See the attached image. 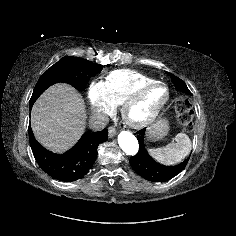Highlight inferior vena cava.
Listing matches in <instances>:
<instances>
[{"instance_id": "obj_1", "label": "inferior vena cava", "mask_w": 236, "mask_h": 236, "mask_svg": "<svg viewBox=\"0 0 236 236\" xmlns=\"http://www.w3.org/2000/svg\"><path fill=\"white\" fill-rule=\"evenodd\" d=\"M108 122H109L108 116L104 113H100L91 117L90 127L94 131H100L107 126Z\"/></svg>"}]
</instances>
